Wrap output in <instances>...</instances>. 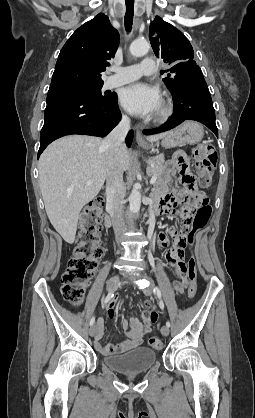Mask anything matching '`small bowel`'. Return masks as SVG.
<instances>
[{
  "label": "small bowel",
  "instance_id": "obj_1",
  "mask_svg": "<svg viewBox=\"0 0 255 418\" xmlns=\"http://www.w3.org/2000/svg\"><path fill=\"white\" fill-rule=\"evenodd\" d=\"M171 161L156 191V197L160 198L156 209L159 213L171 217L179 215L187 218L190 213V208L188 206L180 208V206L186 204L198 192L196 180L189 172L188 166V163H192L193 156L187 153L186 147H175ZM176 174L180 175L181 187L179 188L171 186ZM187 234H191L190 228H171L168 233L162 232L158 237L159 245L166 247L164 253L167 257L170 273H174V278L180 280L173 283V288L179 292L177 294L179 299L184 297L182 293L184 287L182 285H185L188 280V265L185 261ZM115 306V300L106 303L107 313L111 319L116 315ZM143 317L145 325L136 317H132L124 322L125 333L128 339L116 345H104L102 343L104 319L99 318L94 334V342L97 350L103 355H111L120 354L140 346L144 335L150 332V325L160 317V314L149 309L144 312Z\"/></svg>",
  "mask_w": 255,
  "mask_h": 418
}]
</instances>
